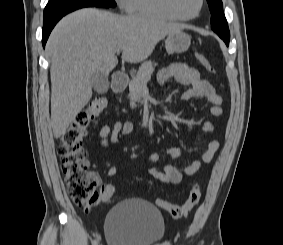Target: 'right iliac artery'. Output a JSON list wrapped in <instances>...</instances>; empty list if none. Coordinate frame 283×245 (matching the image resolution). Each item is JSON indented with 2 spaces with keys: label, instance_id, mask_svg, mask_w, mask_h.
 I'll use <instances>...</instances> for the list:
<instances>
[{
  "label": "right iliac artery",
  "instance_id": "1",
  "mask_svg": "<svg viewBox=\"0 0 283 245\" xmlns=\"http://www.w3.org/2000/svg\"><path fill=\"white\" fill-rule=\"evenodd\" d=\"M92 245H97V241H94Z\"/></svg>",
  "mask_w": 283,
  "mask_h": 245
}]
</instances>
